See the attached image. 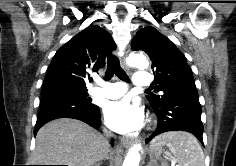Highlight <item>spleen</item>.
Segmentation results:
<instances>
[{"label":"spleen","instance_id":"1","mask_svg":"<svg viewBox=\"0 0 236 166\" xmlns=\"http://www.w3.org/2000/svg\"><path fill=\"white\" fill-rule=\"evenodd\" d=\"M151 145L158 148L167 146L178 162L177 166H205L203 151L197 139L190 133L167 132L157 136Z\"/></svg>","mask_w":236,"mask_h":166}]
</instances>
